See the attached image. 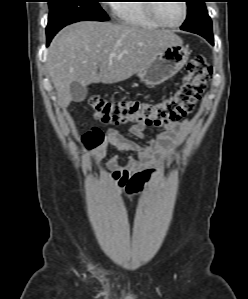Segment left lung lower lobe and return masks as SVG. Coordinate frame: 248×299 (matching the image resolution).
Listing matches in <instances>:
<instances>
[{"label": "left lung lower lobe", "mask_w": 248, "mask_h": 299, "mask_svg": "<svg viewBox=\"0 0 248 299\" xmlns=\"http://www.w3.org/2000/svg\"><path fill=\"white\" fill-rule=\"evenodd\" d=\"M199 35L203 36L206 38L211 44H213V34H210L204 30L198 32Z\"/></svg>", "instance_id": "1"}]
</instances>
